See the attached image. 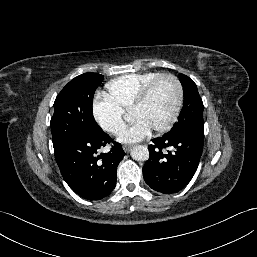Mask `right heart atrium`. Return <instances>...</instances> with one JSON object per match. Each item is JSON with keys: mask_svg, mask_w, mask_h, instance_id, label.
Returning <instances> with one entry per match:
<instances>
[{"mask_svg": "<svg viewBox=\"0 0 257 257\" xmlns=\"http://www.w3.org/2000/svg\"><path fill=\"white\" fill-rule=\"evenodd\" d=\"M102 100L115 110L117 115L116 121L110 125L102 122L98 118V115L96 112V105L93 108V116L103 131L107 132L110 135H117L123 127V111L118 106H116L107 96H103Z\"/></svg>", "mask_w": 257, "mask_h": 257, "instance_id": "right-heart-atrium-1", "label": "right heart atrium"}]
</instances>
